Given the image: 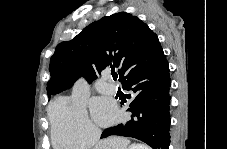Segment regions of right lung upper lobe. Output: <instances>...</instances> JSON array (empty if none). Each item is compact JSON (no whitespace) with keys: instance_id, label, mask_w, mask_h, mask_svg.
<instances>
[{"instance_id":"right-lung-upper-lobe-1","label":"right lung upper lobe","mask_w":227,"mask_h":149,"mask_svg":"<svg viewBox=\"0 0 227 149\" xmlns=\"http://www.w3.org/2000/svg\"><path fill=\"white\" fill-rule=\"evenodd\" d=\"M165 57L157 35L138 17L119 12L88 25L51 57L48 97L70 88L80 77L91 82L105 68L117 69L123 83Z\"/></svg>"}]
</instances>
